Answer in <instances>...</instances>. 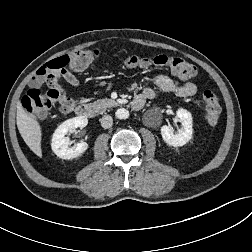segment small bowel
I'll use <instances>...</instances> for the list:
<instances>
[{
	"label": "small bowel",
	"mask_w": 252,
	"mask_h": 252,
	"mask_svg": "<svg viewBox=\"0 0 252 252\" xmlns=\"http://www.w3.org/2000/svg\"><path fill=\"white\" fill-rule=\"evenodd\" d=\"M68 84H70L74 88L79 87L78 78L71 72L64 70L60 75ZM153 81L155 85L164 92L174 93L179 97L186 98L193 96L197 87L193 82H185L180 84L177 80L172 77H169L164 74H157L154 76ZM101 87H108L106 83H102ZM155 97V91L147 87L143 90V92L138 95L136 98H141L144 101L146 99H153ZM74 107V102L71 99L67 98L66 103L60 104V109L62 112H68L72 110Z\"/></svg>",
	"instance_id": "obj_1"
}]
</instances>
